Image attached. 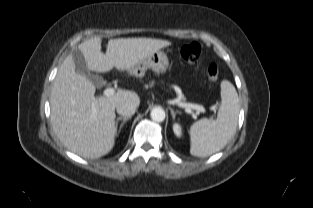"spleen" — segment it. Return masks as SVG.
Here are the masks:
<instances>
[{
  "label": "spleen",
  "mask_w": 313,
  "mask_h": 208,
  "mask_svg": "<svg viewBox=\"0 0 313 208\" xmlns=\"http://www.w3.org/2000/svg\"><path fill=\"white\" fill-rule=\"evenodd\" d=\"M221 105L217 119H200L190 127V153L197 157L210 156L230 141L236 132L240 103L237 91L228 80L221 82Z\"/></svg>",
  "instance_id": "obj_1"
}]
</instances>
